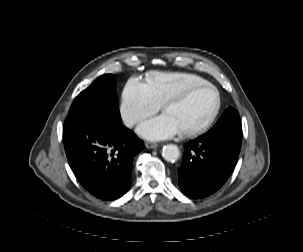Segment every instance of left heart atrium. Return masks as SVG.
<instances>
[{
	"label": "left heart atrium",
	"instance_id": "left-heart-atrium-1",
	"mask_svg": "<svg viewBox=\"0 0 303 252\" xmlns=\"http://www.w3.org/2000/svg\"><path fill=\"white\" fill-rule=\"evenodd\" d=\"M140 136L150 140H164L173 138L179 133V128L171 119L164 113L144 121L137 129Z\"/></svg>",
	"mask_w": 303,
	"mask_h": 252
}]
</instances>
